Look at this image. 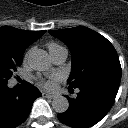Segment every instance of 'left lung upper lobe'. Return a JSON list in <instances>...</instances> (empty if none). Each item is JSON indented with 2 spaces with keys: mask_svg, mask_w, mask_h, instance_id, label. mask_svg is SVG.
<instances>
[{
  "mask_svg": "<svg viewBox=\"0 0 128 128\" xmlns=\"http://www.w3.org/2000/svg\"><path fill=\"white\" fill-rule=\"evenodd\" d=\"M72 52L69 87L79 88L97 78L121 79V65L113 45L99 33L84 27L50 30Z\"/></svg>",
  "mask_w": 128,
  "mask_h": 128,
  "instance_id": "left-lung-upper-lobe-1",
  "label": "left lung upper lobe"
}]
</instances>
